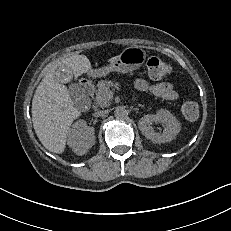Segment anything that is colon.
<instances>
[{"label":"colon","instance_id":"1","mask_svg":"<svg viewBox=\"0 0 231 231\" xmlns=\"http://www.w3.org/2000/svg\"><path fill=\"white\" fill-rule=\"evenodd\" d=\"M171 70L170 64L158 57H151L147 61V71L151 79H163L171 73ZM181 110L183 115L189 120H194L199 115V106L194 101H185L182 104Z\"/></svg>","mask_w":231,"mask_h":231}]
</instances>
